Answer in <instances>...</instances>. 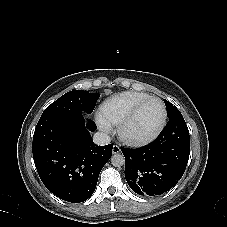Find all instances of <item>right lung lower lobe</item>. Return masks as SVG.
I'll use <instances>...</instances> for the list:
<instances>
[{
  "label": "right lung lower lobe",
  "instance_id": "obj_1",
  "mask_svg": "<svg viewBox=\"0 0 227 227\" xmlns=\"http://www.w3.org/2000/svg\"><path fill=\"white\" fill-rule=\"evenodd\" d=\"M96 125L82 114L41 117L33 136L38 174L57 197L80 203L95 191L100 171L113 145L97 146L90 137Z\"/></svg>",
  "mask_w": 227,
  "mask_h": 227
}]
</instances>
